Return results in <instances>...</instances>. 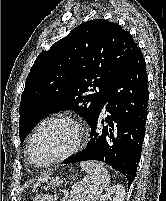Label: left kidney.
Instances as JSON below:
<instances>
[{
	"instance_id": "left-kidney-1",
	"label": "left kidney",
	"mask_w": 166,
	"mask_h": 201,
	"mask_svg": "<svg viewBox=\"0 0 166 201\" xmlns=\"http://www.w3.org/2000/svg\"><path fill=\"white\" fill-rule=\"evenodd\" d=\"M113 195V201H124L125 188L121 184H117L107 190V192L102 195L99 201H107Z\"/></svg>"
}]
</instances>
